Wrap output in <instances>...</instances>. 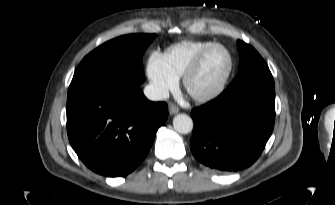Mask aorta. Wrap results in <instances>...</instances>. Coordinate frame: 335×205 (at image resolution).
<instances>
[{"label":"aorta","mask_w":335,"mask_h":205,"mask_svg":"<svg viewBox=\"0 0 335 205\" xmlns=\"http://www.w3.org/2000/svg\"><path fill=\"white\" fill-rule=\"evenodd\" d=\"M174 129L181 134H188L193 129V120L186 114H178L173 119Z\"/></svg>","instance_id":"762f6f07"}]
</instances>
